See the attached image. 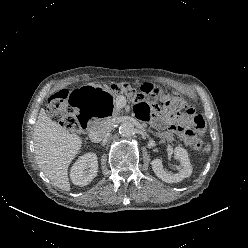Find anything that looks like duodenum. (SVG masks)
Wrapping results in <instances>:
<instances>
[{
    "label": "duodenum",
    "instance_id": "1",
    "mask_svg": "<svg viewBox=\"0 0 248 248\" xmlns=\"http://www.w3.org/2000/svg\"><path fill=\"white\" fill-rule=\"evenodd\" d=\"M95 117L92 113L86 112L82 119V126L84 129H88Z\"/></svg>",
    "mask_w": 248,
    "mask_h": 248
}]
</instances>
